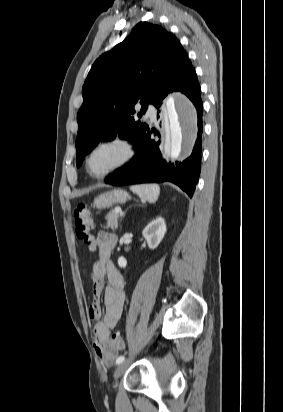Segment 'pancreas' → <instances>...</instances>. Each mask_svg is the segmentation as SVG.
Listing matches in <instances>:
<instances>
[{
    "mask_svg": "<svg viewBox=\"0 0 283 412\" xmlns=\"http://www.w3.org/2000/svg\"><path fill=\"white\" fill-rule=\"evenodd\" d=\"M119 217L120 215L118 213H116L115 211H110L106 216L107 227L111 229H117Z\"/></svg>",
    "mask_w": 283,
    "mask_h": 412,
    "instance_id": "obj_1",
    "label": "pancreas"
}]
</instances>
